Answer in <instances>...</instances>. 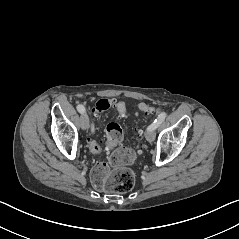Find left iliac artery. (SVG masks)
<instances>
[{
  "label": "left iliac artery",
  "instance_id": "1",
  "mask_svg": "<svg viewBox=\"0 0 239 239\" xmlns=\"http://www.w3.org/2000/svg\"><path fill=\"white\" fill-rule=\"evenodd\" d=\"M166 115V112L160 113L154 122L148 126L147 130L156 129L165 120Z\"/></svg>",
  "mask_w": 239,
  "mask_h": 239
}]
</instances>
